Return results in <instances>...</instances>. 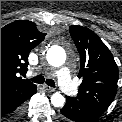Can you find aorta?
<instances>
[{
	"mask_svg": "<svg viewBox=\"0 0 122 122\" xmlns=\"http://www.w3.org/2000/svg\"><path fill=\"white\" fill-rule=\"evenodd\" d=\"M47 61L51 66L60 67L66 61V53L63 48L54 46L47 52ZM51 103L54 107H61L65 103V98L60 93L51 96Z\"/></svg>",
	"mask_w": 122,
	"mask_h": 122,
	"instance_id": "aorta-1",
	"label": "aorta"
}]
</instances>
